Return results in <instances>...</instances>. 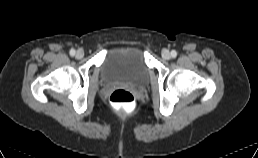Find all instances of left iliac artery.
I'll return each mask as SVG.
<instances>
[{
  "label": "left iliac artery",
  "mask_w": 258,
  "mask_h": 158,
  "mask_svg": "<svg viewBox=\"0 0 258 158\" xmlns=\"http://www.w3.org/2000/svg\"><path fill=\"white\" fill-rule=\"evenodd\" d=\"M171 56H172L173 58H175V57L177 56V52H176L175 50H172V51H171Z\"/></svg>",
  "instance_id": "44dca946"
}]
</instances>
